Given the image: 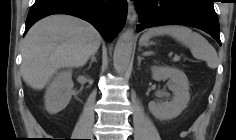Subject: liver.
<instances>
[{"label":"liver","instance_id":"obj_1","mask_svg":"<svg viewBox=\"0 0 236 140\" xmlns=\"http://www.w3.org/2000/svg\"><path fill=\"white\" fill-rule=\"evenodd\" d=\"M102 37L88 22L70 15H51L38 21L22 43V78L43 89L63 67H82L100 47Z\"/></svg>","mask_w":236,"mask_h":140}]
</instances>
